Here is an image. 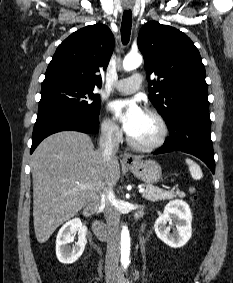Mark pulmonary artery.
Segmentation results:
<instances>
[{"mask_svg":"<svg viewBox=\"0 0 233 283\" xmlns=\"http://www.w3.org/2000/svg\"><path fill=\"white\" fill-rule=\"evenodd\" d=\"M142 84V76L135 73L129 78L117 81L114 84V89L123 94H132L140 89Z\"/></svg>","mask_w":233,"mask_h":283,"instance_id":"e3ab8cb5","label":"pulmonary artery"}]
</instances>
